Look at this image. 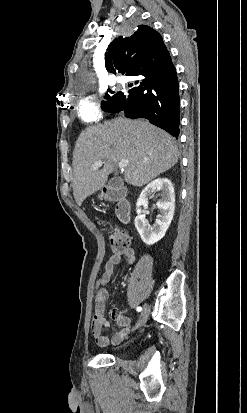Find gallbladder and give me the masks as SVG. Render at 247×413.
Wrapping results in <instances>:
<instances>
[{"instance_id":"bac80fb5","label":"gallbladder","mask_w":247,"mask_h":413,"mask_svg":"<svg viewBox=\"0 0 247 413\" xmlns=\"http://www.w3.org/2000/svg\"><path fill=\"white\" fill-rule=\"evenodd\" d=\"M119 182H121L120 176H115V178H110L108 184L109 186H119Z\"/></svg>"}]
</instances>
